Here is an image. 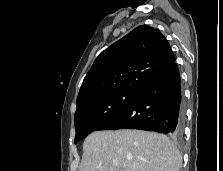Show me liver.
<instances>
[{
	"mask_svg": "<svg viewBox=\"0 0 223 171\" xmlns=\"http://www.w3.org/2000/svg\"><path fill=\"white\" fill-rule=\"evenodd\" d=\"M181 165L182 157L167 136L105 130L86 137L80 171H179Z\"/></svg>",
	"mask_w": 223,
	"mask_h": 171,
	"instance_id": "liver-1",
	"label": "liver"
}]
</instances>
